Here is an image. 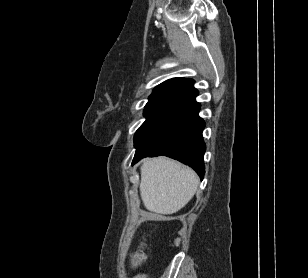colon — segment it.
I'll return each mask as SVG.
<instances>
[{"mask_svg":"<svg viewBox=\"0 0 308 278\" xmlns=\"http://www.w3.org/2000/svg\"><path fill=\"white\" fill-rule=\"evenodd\" d=\"M144 250H145V244L141 243L137 249H135L130 256V263L132 267H136L141 264V262L144 259Z\"/></svg>","mask_w":308,"mask_h":278,"instance_id":"5ec220e1","label":"colon"}]
</instances>
